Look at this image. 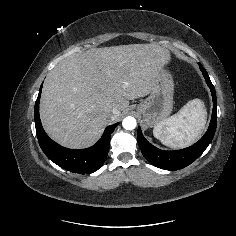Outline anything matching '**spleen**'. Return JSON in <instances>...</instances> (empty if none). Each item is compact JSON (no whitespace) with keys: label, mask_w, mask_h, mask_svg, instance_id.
<instances>
[{"label":"spleen","mask_w":236,"mask_h":236,"mask_svg":"<svg viewBox=\"0 0 236 236\" xmlns=\"http://www.w3.org/2000/svg\"><path fill=\"white\" fill-rule=\"evenodd\" d=\"M206 115L204 103L200 99H193L177 114L154 126V137L171 148L188 147L201 135Z\"/></svg>","instance_id":"spleen-1"}]
</instances>
